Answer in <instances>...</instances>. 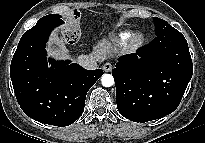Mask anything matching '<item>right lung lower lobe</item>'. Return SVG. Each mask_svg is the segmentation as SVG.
Here are the masks:
<instances>
[{"label": "right lung lower lobe", "mask_w": 205, "mask_h": 143, "mask_svg": "<svg viewBox=\"0 0 205 143\" xmlns=\"http://www.w3.org/2000/svg\"><path fill=\"white\" fill-rule=\"evenodd\" d=\"M60 24L42 17L23 34L11 61L10 76L26 115L40 123L64 127L81 116L86 94L103 71H89L68 61L47 60L46 41Z\"/></svg>", "instance_id": "right-lung-lower-lobe-1"}]
</instances>
